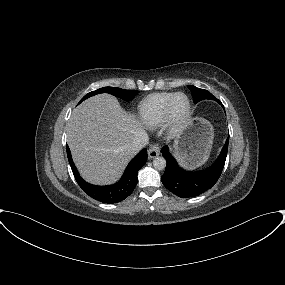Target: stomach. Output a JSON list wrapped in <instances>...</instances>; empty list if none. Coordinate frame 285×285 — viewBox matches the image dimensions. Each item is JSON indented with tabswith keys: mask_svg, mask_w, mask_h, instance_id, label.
Returning a JSON list of instances; mask_svg holds the SVG:
<instances>
[{
	"mask_svg": "<svg viewBox=\"0 0 285 285\" xmlns=\"http://www.w3.org/2000/svg\"><path fill=\"white\" fill-rule=\"evenodd\" d=\"M213 137L214 130L211 123L204 118H194L176 138L174 153L185 167L197 168L207 161Z\"/></svg>",
	"mask_w": 285,
	"mask_h": 285,
	"instance_id": "1",
	"label": "stomach"
}]
</instances>
